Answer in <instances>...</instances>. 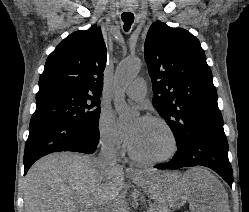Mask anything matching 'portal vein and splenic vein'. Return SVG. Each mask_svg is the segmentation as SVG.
<instances>
[{
	"label": "portal vein and splenic vein",
	"mask_w": 249,
	"mask_h": 212,
	"mask_svg": "<svg viewBox=\"0 0 249 212\" xmlns=\"http://www.w3.org/2000/svg\"><path fill=\"white\" fill-rule=\"evenodd\" d=\"M149 212H153V210H149Z\"/></svg>",
	"instance_id": "obj_1"
}]
</instances>
